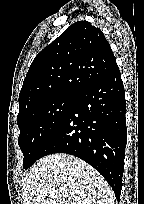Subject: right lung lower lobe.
Returning <instances> with one entry per match:
<instances>
[{"label":"right lung lower lobe","instance_id":"98d812e1","mask_svg":"<svg viewBox=\"0 0 144 204\" xmlns=\"http://www.w3.org/2000/svg\"><path fill=\"white\" fill-rule=\"evenodd\" d=\"M125 94L118 66L76 94L40 158L71 154L93 166L120 200L127 129Z\"/></svg>","mask_w":144,"mask_h":204}]
</instances>
